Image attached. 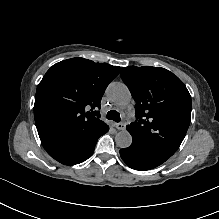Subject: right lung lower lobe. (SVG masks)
Wrapping results in <instances>:
<instances>
[{
  "instance_id": "98d812e1",
  "label": "right lung lower lobe",
  "mask_w": 219,
  "mask_h": 219,
  "mask_svg": "<svg viewBox=\"0 0 219 219\" xmlns=\"http://www.w3.org/2000/svg\"><path fill=\"white\" fill-rule=\"evenodd\" d=\"M108 130L109 127L105 124L91 136L43 141L42 145L58 162L75 165L84 162L92 155L98 138Z\"/></svg>"
}]
</instances>
